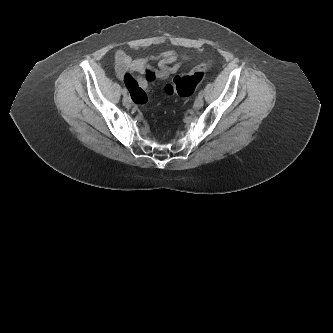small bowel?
<instances>
[{
    "mask_svg": "<svg viewBox=\"0 0 333 333\" xmlns=\"http://www.w3.org/2000/svg\"><path fill=\"white\" fill-rule=\"evenodd\" d=\"M114 60L117 76L123 78L137 104L146 101L147 92L154 81L167 79L181 68V55L174 50L138 59H132L124 51L119 50L115 53ZM152 62H156L157 67H154Z\"/></svg>",
    "mask_w": 333,
    "mask_h": 333,
    "instance_id": "c3829d8e",
    "label": "small bowel"
}]
</instances>
